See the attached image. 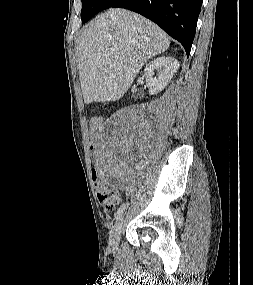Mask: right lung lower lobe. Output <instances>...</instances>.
<instances>
[{"label":"right lung lower lobe","instance_id":"98d812e1","mask_svg":"<svg viewBox=\"0 0 253 285\" xmlns=\"http://www.w3.org/2000/svg\"><path fill=\"white\" fill-rule=\"evenodd\" d=\"M203 0H117L111 7L137 12L159 25L184 47L187 57Z\"/></svg>","mask_w":253,"mask_h":285}]
</instances>
